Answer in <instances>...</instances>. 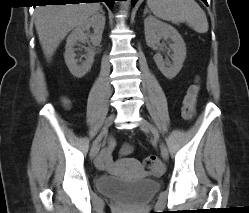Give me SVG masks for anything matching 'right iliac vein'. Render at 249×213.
I'll return each instance as SVG.
<instances>
[{
	"label": "right iliac vein",
	"mask_w": 249,
	"mask_h": 213,
	"mask_svg": "<svg viewBox=\"0 0 249 213\" xmlns=\"http://www.w3.org/2000/svg\"><path fill=\"white\" fill-rule=\"evenodd\" d=\"M114 119H115L114 114H111V115H109V116L106 118L101 133H104V134L106 133L107 129L112 125ZM99 148H100L99 142L96 143V144H94V145L92 146V148H91V150H90V158H91V159H94V158L97 156V154H98V152H99Z\"/></svg>",
	"instance_id": "obj_1"
}]
</instances>
